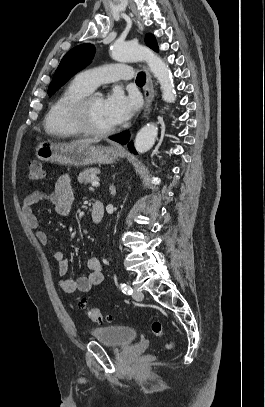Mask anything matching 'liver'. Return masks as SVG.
I'll use <instances>...</instances> for the list:
<instances>
[{
	"label": "liver",
	"mask_w": 265,
	"mask_h": 407,
	"mask_svg": "<svg viewBox=\"0 0 265 407\" xmlns=\"http://www.w3.org/2000/svg\"><path fill=\"white\" fill-rule=\"evenodd\" d=\"M97 142H99V140H97V139H81V140H78V141H75V142H72V143L89 145V144L97 143Z\"/></svg>",
	"instance_id": "6515ba94"
}]
</instances>
